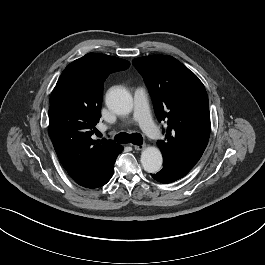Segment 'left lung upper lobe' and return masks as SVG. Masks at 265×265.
Wrapping results in <instances>:
<instances>
[{"label": "left lung upper lobe", "mask_w": 265, "mask_h": 265, "mask_svg": "<svg viewBox=\"0 0 265 265\" xmlns=\"http://www.w3.org/2000/svg\"><path fill=\"white\" fill-rule=\"evenodd\" d=\"M159 121L164 120L165 141L157 142L163 169L184 177L201 158L210 136L208 96L198 77L177 59L167 55L136 58Z\"/></svg>", "instance_id": "1"}]
</instances>
